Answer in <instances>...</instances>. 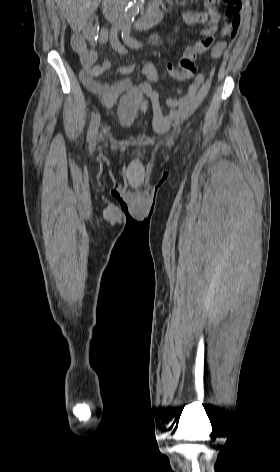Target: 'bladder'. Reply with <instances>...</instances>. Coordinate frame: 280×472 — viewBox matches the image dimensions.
I'll return each mask as SVG.
<instances>
[{"mask_svg":"<svg viewBox=\"0 0 280 472\" xmlns=\"http://www.w3.org/2000/svg\"><path fill=\"white\" fill-rule=\"evenodd\" d=\"M143 105L144 94L140 89L128 91L120 98L117 106L118 123L123 127L132 126Z\"/></svg>","mask_w":280,"mask_h":472,"instance_id":"31cf9c89","label":"bladder"}]
</instances>
